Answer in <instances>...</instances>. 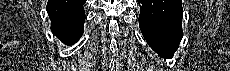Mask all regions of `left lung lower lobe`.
Segmentation results:
<instances>
[{
	"mask_svg": "<svg viewBox=\"0 0 230 71\" xmlns=\"http://www.w3.org/2000/svg\"><path fill=\"white\" fill-rule=\"evenodd\" d=\"M139 27L148 45L162 58L173 57L182 32L181 0H138Z\"/></svg>",
	"mask_w": 230,
	"mask_h": 71,
	"instance_id": "left-lung-lower-lobe-1",
	"label": "left lung lower lobe"
}]
</instances>
